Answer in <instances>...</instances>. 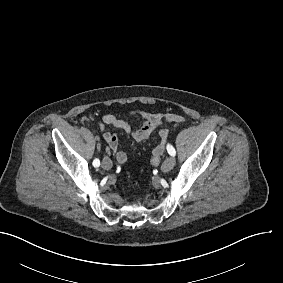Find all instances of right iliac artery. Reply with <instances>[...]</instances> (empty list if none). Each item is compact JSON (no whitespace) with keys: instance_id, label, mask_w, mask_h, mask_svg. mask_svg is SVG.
I'll list each match as a JSON object with an SVG mask.
<instances>
[{"instance_id":"right-iliac-artery-1","label":"right iliac artery","mask_w":283,"mask_h":283,"mask_svg":"<svg viewBox=\"0 0 283 283\" xmlns=\"http://www.w3.org/2000/svg\"><path fill=\"white\" fill-rule=\"evenodd\" d=\"M93 166H94V167H99V166H100V161H99L98 159H95V160L93 161Z\"/></svg>"}]
</instances>
